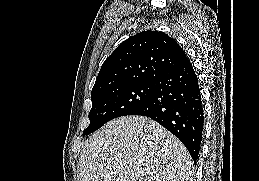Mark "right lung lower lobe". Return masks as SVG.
Segmentation results:
<instances>
[{
    "instance_id": "obj_1",
    "label": "right lung lower lobe",
    "mask_w": 259,
    "mask_h": 181,
    "mask_svg": "<svg viewBox=\"0 0 259 181\" xmlns=\"http://www.w3.org/2000/svg\"><path fill=\"white\" fill-rule=\"evenodd\" d=\"M130 115L147 116L172 132L194 162L202 140L204 113L197 75L188 59L154 82L148 100Z\"/></svg>"
}]
</instances>
